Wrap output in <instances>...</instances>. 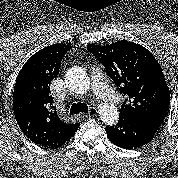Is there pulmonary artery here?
<instances>
[{
  "instance_id": "1",
  "label": "pulmonary artery",
  "mask_w": 178,
  "mask_h": 178,
  "mask_svg": "<svg viewBox=\"0 0 178 178\" xmlns=\"http://www.w3.org/2000/svg\"><path fill=\"white\" fill-rule=\"evenodd\" d=\"M91 90L98 98L112 103H117L122 99L119 93L108 86L103 75L97 68H94L91 73Z\"/></svg>"
}]
</instances>
